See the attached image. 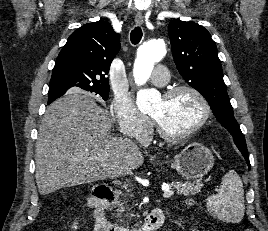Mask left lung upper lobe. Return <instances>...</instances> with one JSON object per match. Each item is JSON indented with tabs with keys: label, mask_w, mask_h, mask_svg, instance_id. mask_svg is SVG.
<instances>
[{
	"label": "left lung upper lobe",
	"mask_w": 268,
	"mask_h": 231,
	"mask_svg": "<svg viewBox=\"0 0 268 231\" xmlns=\"http://www.w3.org/2000/svg\"><path fill=\"white\" fill-rule=\"evenodd\" d=\"M172 55L181 76L208 101L216 119L233 136L240 151H247L243 133L223 80L221 62L210 33L194 22L173 21L168 26Z\"/></svg>",
	"instance_id": "1"
}]
</instances>
